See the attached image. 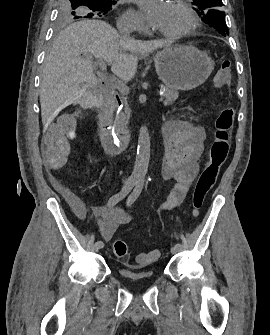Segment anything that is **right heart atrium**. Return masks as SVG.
I'll return each mask as SVG.
<instances>
[{
	"label": "right heart atrium",
	"instance_id": "right-heart-atrium-1",
	"mask_svg": "<svg viewBox=\"0 0 270 335\" xmlns=\"http://www.w3.org/2000/svg\"><path fill=\"white\" fill-rule=\"evenodd\" d=\"M117 25H137V34L145 32V23L140 14L133 8L127 9L118 19Z\"/></svg>",
	"mask_w": 270,
	"mask_h": 335
}]
</instances>
